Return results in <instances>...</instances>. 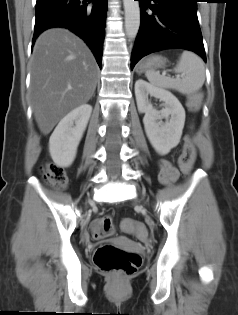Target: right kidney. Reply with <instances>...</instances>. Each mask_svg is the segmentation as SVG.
<instances>
[{
  "label": "right kidney",
  "instance_id": "right-kidney-1",
  "mask_svg": "<svg viewBox=\"0 0 238 315\" xmlns=\"http://www.w3.org/2000/svg\"><path fill=\"white\" fill-rule=\"evenodd\" d=\"M91 113L92 106L82 104L61 119L49 139V152L56 165L69 167L73 163Z\"/></svg>",
  "mask_w": 238,
  "mask_h": 315
}]
</instances>
